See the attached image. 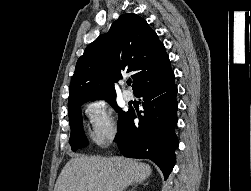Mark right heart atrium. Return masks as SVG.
I'll list each match as a JSON object with an SVG mask.
<instances>
[{
  "label": "right heart atrium",
  "mask_w": 251,
  "mask_h": 191,
  "mask_svg": "<svg viewBox=\"0 0 251 191\" xmlns=\"http://www.w3.org/2000/svg\"><path fill=\"white\" fill-rule=\"evenodd\" d=\"M83 112L90 141L98 148L110 144L117 134L112 109L103 101H92L85 105Z\"/></svg>",
  "instance_id": "obj_1"
}]
</instances>
